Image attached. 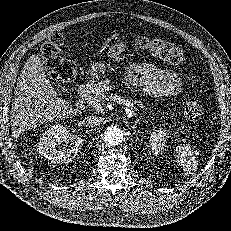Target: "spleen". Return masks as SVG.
<instances>
[{
	"label": "spleen",
	"instance_id": "3e777b00",
	"mask_svg": "<svg viewBox=\"0 0 231 231\" xmlns=\"http://www.w3.org/2000/svg\"><path fill=\"white\" fill-rule=\"evenodd\" d=\"M198 155L197 150L193 151L190 147V144H183V146L178 145L174 151V157L176 158V162L182 166L184 173V177L189 176V174H193L194 171L197 170V166L199 164L198 160H196L195 155Z\"/></svg>",
	"mask_w": 231,
	"mask_h": 231
}]
</instances>
